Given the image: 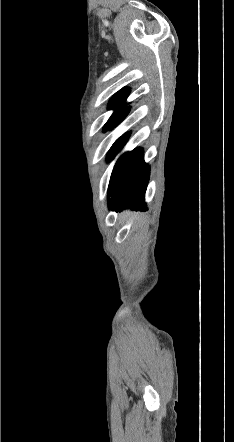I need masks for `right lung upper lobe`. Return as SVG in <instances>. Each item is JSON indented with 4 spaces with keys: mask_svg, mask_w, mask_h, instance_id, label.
<instances>
[{
    "mask_svg": "<svg viewBox=\"0 0 234 442\" xmlns=\"http://www.w3.org/2000/svg\"><path fill=\"white\" fill-rule=\"evenodd\" d=\"M129 89H122L121 91L117 92L110 100L109 108L114 110L113 115L117 116L120 113L123 112V108L127 106V97L129 95ZM118 112V113H117Z\"/></svg>",
    "mask_w": 234,
    "mask_h": 442,
    "instance_id": "obj_1",
    "label": "right lung upper lobe"
}]
</instances>
